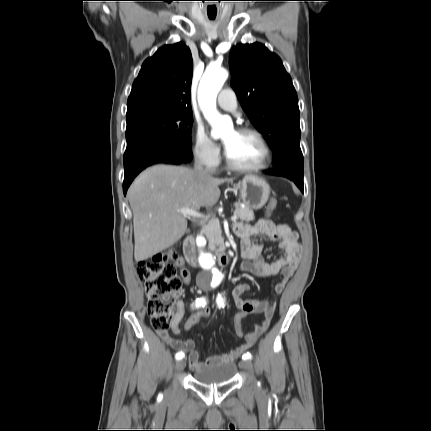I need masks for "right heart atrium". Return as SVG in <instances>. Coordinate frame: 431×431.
<instances>
[{"label":"right heart atrium","mask_w":431,"mask_h":431,"mask_svg":"<svg viewBox=\"0 0 431 431\" xmlns=\"http://www.w3.org/2000/svg\"><path fill=\"white\" fill-rule=\"evenodd\" d=\"M192 152L195 159L209 169H214L220 162L219 147L209 138L201 126L195 128Z\"/></svg>","instance_id":"d8ad5b80"}]
</instances>
